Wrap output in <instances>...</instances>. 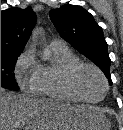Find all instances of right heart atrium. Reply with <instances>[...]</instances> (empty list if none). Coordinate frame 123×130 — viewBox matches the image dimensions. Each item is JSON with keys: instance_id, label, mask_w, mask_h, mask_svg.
Wrapping results in <instances>:
<instances>
[{"instance_id": "obj_1", "label": "right heart atrium", "mask_w": 123, "mask_h": 130, "mask_svg": "<svg viewBox=\"0 0 123 130\" xmlns=\"http://www.w3.org/2000/svg\"><path fill=\"white\" fill-rule=\"evenodd\" d=\"M38 75L39 63L36 60L35 53L32 49H27L16 62V80L22 89L32 91Z\"/></svg>"}]
</instances>
